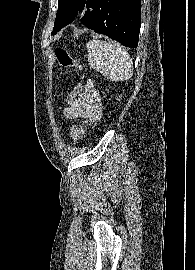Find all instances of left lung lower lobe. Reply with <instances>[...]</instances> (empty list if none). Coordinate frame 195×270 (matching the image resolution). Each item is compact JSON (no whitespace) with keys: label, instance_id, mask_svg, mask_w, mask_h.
<instances>
[{"label":"left lung lower lobe","instance_id":"obj_1","mask_svg":"<svg viewBox=\"0 0 195 270\" xmlns=\"http://www.w3.org/2000/svg\"><path fill=\"white\" fill-rule=\"evenodd\" d=\"M81 22L127 47H137L141 26V0H87ZM54 35V34H53Z\"/></svg>","mask_w":195,"mask_h":270}]
</instances>
